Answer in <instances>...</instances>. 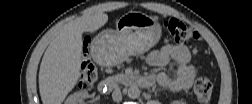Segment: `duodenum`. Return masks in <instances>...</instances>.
Masks as SVG:
<instances>
[{"mask_svg":"<svg viewBox=\"0 0 252 104\" xmlns=\"http://www.w3.org/2000/svg\"><path fill=\"white\" fill-rule=\"evenodd\" d=\"M120 80L130 86L150 88L154 84V79L150 76H140V75H125L120 78ZM118 77H111L103 79L99 83V89L102 92H107L118 84Z\"/></svg>","mask_w":252,"mask_h":104,"instance_id":"obj_1","label":"duodenum"}]
</instances>
